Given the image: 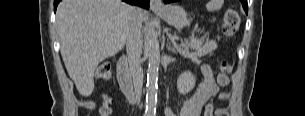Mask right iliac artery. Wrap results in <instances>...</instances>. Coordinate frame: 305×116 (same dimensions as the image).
Returning a JSON list of instances; mask_svg holds the SVG:
<instances>
[{"label": "right iliac artery", "mask_w": 305, "mask_h": 116, "mask_svg": "<svg viewBox=\"0 0 305 116\" xmlns=\"http://www.w3.org/2000/svg\"><path fill=\"white\" fill-rule=\"evenodd\" d=\"M144 116H151V114L145 113Z\"/></svg>", "instance_id": "obj_1"}]
</instances>
